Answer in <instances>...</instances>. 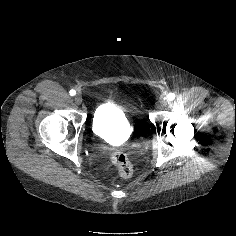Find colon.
I'll use <instances>...</instances> for the list:
<instances>
[{
    "mask_svg": "<svg viewBox=\"0 0 236 236\" xmlns=\"http://www.w3.org/2000/svg\"><path fill=\"white\" fill-rule=\"evenodd\" d=\"M111 162L116 166L120 176L128 179L133 174L132 164L125 153L122 151H114L110 156Z\"/></svg>",
    "mask_w": 236,
    "mask_h": 236,
    "instance_id": "1",
    "label": "colon"
}]
</instances>
